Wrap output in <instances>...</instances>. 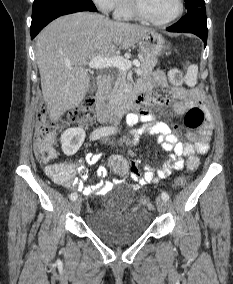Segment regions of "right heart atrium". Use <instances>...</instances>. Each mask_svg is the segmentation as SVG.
<instances>
[{"mask_svg": "<svg viewBox=\"0 0 233 284\" xmlns=\"http://www.w3.org/2000/svg\"><path fill=\"white\" fill-rule=\"evenodd\" d=\"M94 4L105 13L115 10L120 0H92Z\"/></svg>", "mask_w": 233, "mask_h": 284, "instance_id": "obj_1", "label": "right heart atrium"}]
</instances>
